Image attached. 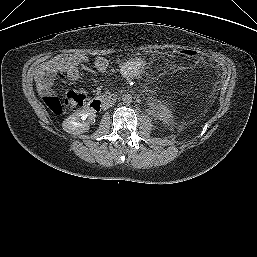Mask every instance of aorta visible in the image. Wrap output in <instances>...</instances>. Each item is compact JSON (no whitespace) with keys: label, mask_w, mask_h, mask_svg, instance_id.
<instances>
[{"label":"aorta","mask_w":257,"mask_h":257,"mask_svg":"<svg viewBox=\"0 0 257 257\" xmlns=\"http://www.w3.org/2000/svg\"><path fill=\"white\" fill-rule=\"evenodd\" d=\"M122 100H123L124 103L129 104V103H131L132 100H133V99H132V95L129 94V93L123 94Z\"/></svg>","instance_id":"762f6f07"}]
</instances>
